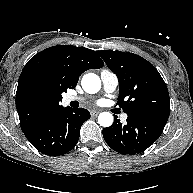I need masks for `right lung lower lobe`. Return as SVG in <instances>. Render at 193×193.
I'll list each match as a JSON object with an SVG mask.
<instances>
[{"label":"right lung lower lobe","mask_w":193,"mask_h":193,"mask_svg":"<svg viewBox=\"0 0 193 193\" xmlns=\"http://www.w3.org/2000/svg\"><path fill=\"white\" fill-rule=\"evenodd\" d=\"M89 118L87 109L66 107L49 115L37 127L24 134L41 153L59 156L74 148L81 126Z\"/></svg>","instance_id":"1"}]
</instances>
